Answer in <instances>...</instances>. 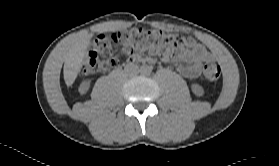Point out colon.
<instances>
[{"label": "colon", "instance_id": "5ec220e1", "mask_svg": "<svg viewBox=\"0 0 279 166\" xmlns=\"http://www.w3.org/2000/svg\"><path fill=\"white\" fill-rule=\"evenodd\" d=\"M193 42L181 35L157 29H130L113 33H100L80 68L83 76L103 73L118 63L119 55L134 56L143 51L179 56L188 52ZM204 77L211 82L220 78L221 68L216 62L203 67Z\"/></svg>", "mask_w": 279, "mask_h": 166}]
</instances>
